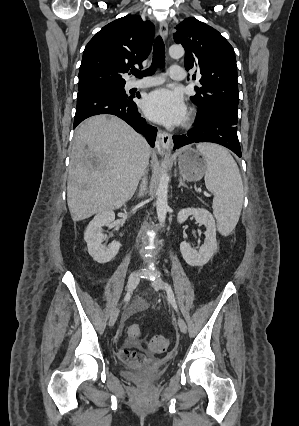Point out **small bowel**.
<instances>
[{
    "label": "small bowel",
    "mask_w": 299,
    "mask_h": 426,
    "mask_svg": "<svg viewBox=\"0 0 299 426\" xmlns=\"http://www.w3.org/2000/svg\"><path fill=\"white\" fill-rule=\"evenodd\" d=\"M147 308L145 302L139 300L132 310L135 312L144 311ZM134 348L139 351L133 350ZM118 357L131 368L154 367L161 363L162 358L153 355V351L135 340H127L118 351Z\"/></svg>",
    "instance_id": "small-bowel-1"
}]
</instances>
